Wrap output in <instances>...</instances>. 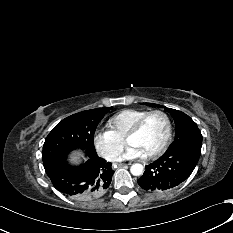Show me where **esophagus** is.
Instances as JSON below:
<instances>
[{
	"mask_svg": "<svg viewBox=\"0 0 233 233\" xmlns=\"http://www.w3.org/2000/svg\"><path fill=\"white\" fill-rule=\"evenodd\" d=\"M117 165H118V167H123V166H125L126 164H124V163H118Z\"/></svg>",
	"mask_w": 233,
	"mask_h": 233,
	"instance_id": "esophagus-1",
	"label": "esophagus"
}]
</instances>
